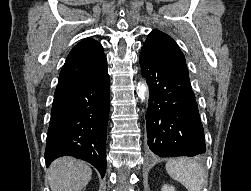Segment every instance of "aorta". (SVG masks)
Segmentation results:
<instances>
[{
    "instance_id": "1",
    "label": "aorta",
    "mask_w": 251,
    "mask_h": 191,
    "mask_svg": "<svg viewBox=\"0 0 251 191\" xmlns=\"http://www.w3.org/2000/svg\"><path fill=\"white\" fill-rule=\"evenodd\" d=\"M136 90L140 99H146L148 88L145 86V84H143V82H139Z\"/></svg>"
}]
</instances>
